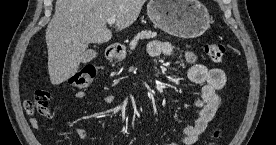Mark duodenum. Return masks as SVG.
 <instances>
[{"mask_svg": "<svg viewBox=\"0 0 276 145\" xmlns=\"http://www.w3.org/2000/svg\"><path fill=\"white\" fill-rule=\"evenodd\" d=\"M122 51V46L113 45L108 50V56L110 59H117L118 57H120Z\"/></svg>", "mask_w": 276, "mask_h": 145, "instance_id": "duodenum-1", "label": "duodenum"}]
</instances>
